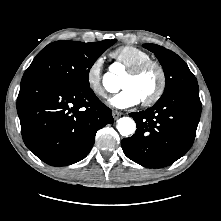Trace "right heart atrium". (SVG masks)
<instances>
[{
  "mask_svg": "<svg viewBox=\"0 0 221 221\" xmlns=\"http://www.w3.org/2000/svg\"><path fill=\"white\" fill-rule=\"evenodd\" d=\"M104 58L96 57L87 67L85 72L86 83L90 90L98 97H105L106 91L103 86Z\"/></svg>",
  "mask_w": 221,
  "mask_h": 221,
  "instance_id": "obj_1",
  "label": "right heart atrium"
}]
</instances>
